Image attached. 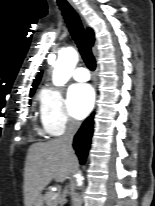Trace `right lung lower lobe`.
Masks as SVG:
<instances>
[{
  "instance_id": "right-lung-lower-lobe-1",
  "label": "right lung lower lobe",
  "mask_w": 155,
  "mask_h": 206,
  "mask_svg": "<svg viewBox=\"0 0 155 206\" xmlns=\"http://www.w3.org/2000/svg\"><path fill=\"white\" fill-rule=\"evenodd\" d=\"M94 113H92L82 124L81 128L74 137L73 147L78 155L81 163L86 160L87 153L91 143L93 134Z\"/></svg>"
}]
</instances>
